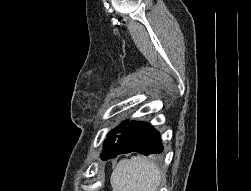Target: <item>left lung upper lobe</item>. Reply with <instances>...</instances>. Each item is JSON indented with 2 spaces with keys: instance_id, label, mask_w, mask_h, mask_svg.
<instances>
[{
  "instance_id": "obj_1",
  "label": "left lung upper lobe",
  "mask_w": 251,
  "mask_h": 191,
  "mask_svg": "<svg viewBox=\"0 0 251 191\" xmlns=\"http://www.w3.org/2000/svg\"><path fill=\"white\" fill-rule=\"evenodd\" d=\"M127 123H128V120L122 122L119 126H117L115 129L109 132V134L107 135L109 138H107L104 141L103 153L101 154L102 160H106L109 157L119 134L124 129Z\"/></svg>"
}]
</instances>
